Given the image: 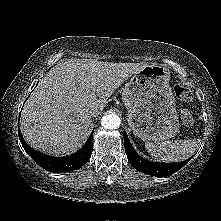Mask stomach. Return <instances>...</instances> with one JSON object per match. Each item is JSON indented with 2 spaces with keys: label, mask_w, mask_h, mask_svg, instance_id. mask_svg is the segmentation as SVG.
<instances>
[{
  "label": "stomach",
  "mask_w": 221,
  "mask_h": 221,
  "mask_svg": "<svg viewBox=\"0 0 221 221\" xmlns=\"http://www.w3.org/2000/svg\"><path fill=\"white\" fill-rule=\"evenodd\" d=\"M168 68L152 64L134 74L125 85L122 101L136 137L146 142L169 140L179 133L175 98Z\"/></svg>",
  "instance_id": "0dacf381"
}]
</instances>
